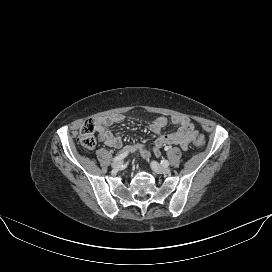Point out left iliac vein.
I'll list each match as a JSON object with an SVG mask.
<instances>
[{"mask_svg":"<svg viewBox=\"0 0 272 272\" xmlns=\"http://www.w3.org/2000/svg\"><path fill=\"white\" fill-rule=\"evenodd\" d=\"M151 168L153 169L154 172H156L158 174H169L170 173L169 167L160 165L156 161L151 162Z\"/></svg>","mask_w":272,"mask_h":272,"instance_id":"obj_1","label":"left iliac vein"}]
</instances>
